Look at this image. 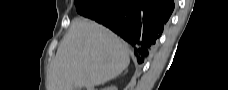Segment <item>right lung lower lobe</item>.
I'll use <instances>...</instances> for the list:
<instances>
[{
  "label": "right lung lower lobe",
  "mask_w": 228,
  "mask_h": 90,
  "mask_svg": "<svg viewBox=\"0 0 228 90\" xmlns=\"http://www.w3.org/2000/svg\"><path fill=\"white\" fill-rule=\"evenodd\" d=\"M173 9L172 0H105L99 13L87 18L128 42L141 64L154 49Z\"/></svg>",
  "instance_id": "98d812e1"
}]
</instances>
